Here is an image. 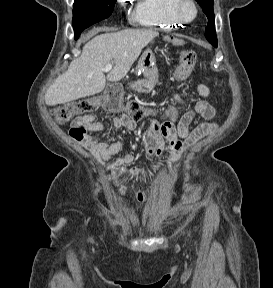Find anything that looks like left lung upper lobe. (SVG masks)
<instances>
[{
  "label": "left lung upper lobe",
  "mask_w": 273,
  "mask_h": 288,
  "mask_svg": "<svg viewBox=\"0 0 273 288\" xmlns=\"http://www.w3.org/2000/svg\"><path fill=\"white\" fill-rule=\"evenodd\" d=\"M196 1L200 4L207 18L209 19V23L205 29V37L213 46L217 47V36L214 25L213 0Z\"/></svg>",
  "instance_id": "obj_1"
}]
</instances>
